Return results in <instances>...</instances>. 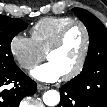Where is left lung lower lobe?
Listing matches in <instances>:
<instances>
[{
	"instance_id": "left-lung-lower-lobe-1",
	"label": "left lung lower lobe",
	"mask_w": 107,
	"mask_h": 107,
	"mask_svg": "<svg viewBox=\"0 0 107 107\" xmlns=\"http://www.w3.org/2000/svg\"><path fill=\"white\" fill-rule=\"evenodd\" d=\"M80 85L69 81L60 89L61 100L57 107H107V76L104 71Z\"/></svg>"
}]
</instances>
